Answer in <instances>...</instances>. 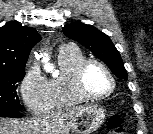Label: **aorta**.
Segmentation results:
<instances>
[{"instance_id": "1", "label": "aorta", "mask_w": 153, "mask_h": 134, "mask_svg": "<svg viewBox=\"0 0 153 134\" xmlns=\"http://www.w3.org/2000/svg\"><path fill=\"white\" fill-rule=\"evenodd\" d=\"M48 60H49L48 56L45 55V56L43 57V62H44V63H47ZM46 69H47L48 71H51V70H52V67L46 66Z\"/></svg>"}]
</instances>
